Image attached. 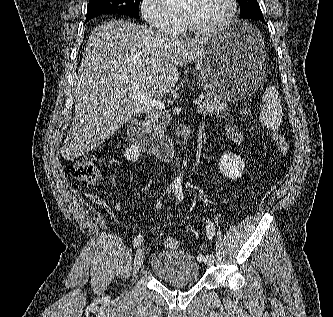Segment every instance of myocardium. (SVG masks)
<instances>
[{"label":"myocardium","mask_w":333,"mask_h":317,"mask_svg":"<svg viewBox=\"0 0 333 317\" xmlns=\"http://www.w3.org/2000/svg\"><path fill=\"white\" fill-rule=\"evenodd\" d=\"M229 9L225 17L217 24L207 27V28H200L195 26L193 23H191L187 18L182 16L183 24L186 28V30L196 36H208L212 34H216L222 30H224L226 27L230 25V23L233 21L236 12H237V1L236 0H227Z\"/></svg>","instance_id":"myocardium-1"}]
</instances>
